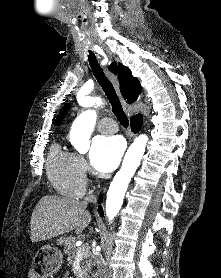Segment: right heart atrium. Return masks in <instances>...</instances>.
I'll return each mask as SVG.
<instances>
[{"label": "right heart atrium", "mask_w": 221, "mask_h": 278, "mask_svg": "<svg viewBox=\"0 0 221 278\" xmlns=\"http://www.w3.org/2000/svg\"><path fill=\"white\" fill-rule=\"evenodd\" d=\"M77 165L81 173L85 176L88 173V166L81 155L76 154Z\"/></svg>", "instance_id": "obj_1"}]
</instances>
